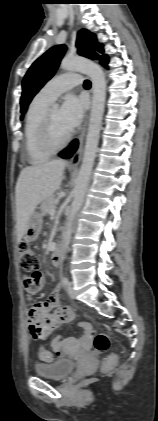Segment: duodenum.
<instances>
[{
    "label": "duodenum",
    "instance_id": "obj_1",
    "mask_svg": "<svg viewBox=\"0 0 158 421\" xmlns=\"http://www.w3.org/2000/svg\"><path fill=\"white\" fill-rule=\"evenodd\" d=\"M61 261V249L60 247H56L52 254V264L54 266H58Z\"/></svg>",
    "mask_w": 158,
    "mask_h": 421
}]
</instances>
